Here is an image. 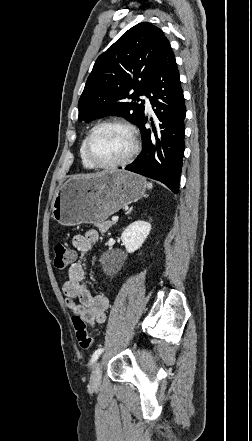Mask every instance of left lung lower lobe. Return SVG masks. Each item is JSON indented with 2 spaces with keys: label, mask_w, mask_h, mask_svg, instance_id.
<instances>
[{
  "label": "left lung lower lobe",
  "mask_w": 252,
  "mask_h": 441,
  "mask_svg": "<svg viewBox=\"0 0 252 441\" xmlns=\"http://www.w3.org/2000/svg\"><path fill=\"white\" fill-rule=\"evenodd\" d=\"M146 95L158 118L156 130L145 128L144 117L138 128L142 133V151L125 169L158 180L174 193L179 180L184 154V118L186 108L175 57L167 40L157 59Z\"/></svg>",
  "instance_id": "1"
}]
</instances>
